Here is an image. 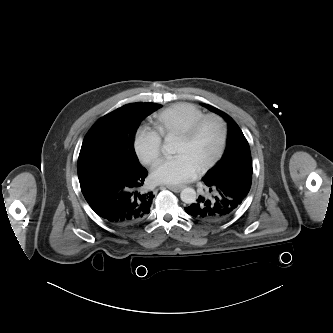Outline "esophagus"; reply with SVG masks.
<instances>
[{
  "label": "esophagus",
  "instance_id": "34e87169",
  "mask_svg": "<svg viewBox=\"0 0 333 333\" xmlns=\"http://www.w3.org/2000/svg\"><path fill=\"white\" fill-rule=\"evenodd\" d=\"M166 187L173 192H180L184 188V186L182 185L180 186L167 185Z\"/></svg>",
  "mask_w": 333,
  "mask_h": 333
}]
</instances>
